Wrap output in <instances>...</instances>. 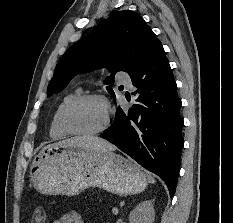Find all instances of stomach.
I'll list each match as a JSON object with an SVG mask.
<instances>
[{"instance_id": "obj_1", "label": "stomach", "mask_w": 233, "mask_h": 223, "mask_svg": "<svg viewBox=\"0 0 233 223\" xmlns=\"http://www.w3.org/2000/svg\"><path fill=\"white\" fill-rule=\"evenodd\" d=\"M29 177L43 195H78L101 187L117 195L146 189L149 179L132 159L113 151L48 143L32 159Z\"/></svg>"}]
</instances>
